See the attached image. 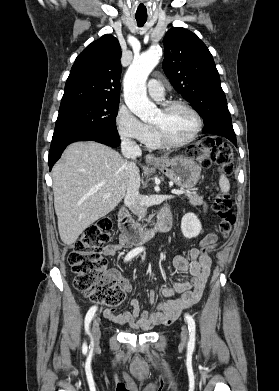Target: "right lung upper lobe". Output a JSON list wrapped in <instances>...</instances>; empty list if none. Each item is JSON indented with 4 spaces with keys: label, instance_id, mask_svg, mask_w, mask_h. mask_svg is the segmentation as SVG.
<instances>
[{
    "label": "right lung upper lobe",
    "instance_id": "1",
    "mask_svg": "<svg viewBox=\"0 0 279 391\" xmlns=\"http://www.w3.org/2000/svg\"><path fill=\"white\" fill-rule=\"evenodd\" d=\"M121 48L118 40L103 35L76 58L66 81L60 109L94 101H119Z\"/></svg>",
    "mask_w": 279,
    "mask_h": 391
}]
</instances>
